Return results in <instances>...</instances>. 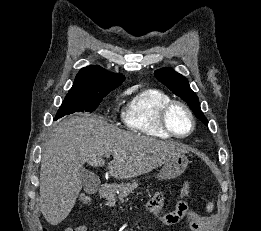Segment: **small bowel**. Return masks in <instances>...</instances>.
<instances>
[{
  "label": "small bowel",
  "instance_id": "obj_1",
  "mask_svg": "<svg viewBox=\"0 0 261 231\" xmlns=\"http://www.w3.org/2000/svg\"><path fill=\"white\" fill-rule=\"evenodd\" d=\"M185 194L180 195V199L176 202L175 207L172 211L162 214V209L164 206V198L161 194H156L153 196L147 206L150 215L160 224L163 225H175L177 224L182 218H186L190 220L191 217L196 215L193 210H191L186 201L182 199ZM64 231H87V227L85 225H80L76 228L67 227ZM93 231H104V230H93ZM202 231H213V226L209 225L207 228L203 229Z\"/></svg>",
  "mask_w": 261,
  "mask_h": 231
}]
</instances>
